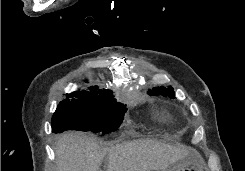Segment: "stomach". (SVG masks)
I'll return each mask as SVG.
<instances>
[{"mask_svg":"<svg viewBox=\"0 0 245 171\" xmlns=\"http://www.w3.org/2000/svg\"><path fill=\"white\" fill-rule=\"evenodd\" d=\"M159 171H203L201 166L191 159V157H186L179 161L177 164L161 169Z\"/></svg>","mask_w":245,"mask_h":171,"instance_id":"0dacf381","label":"stomach"}]
</instances>
